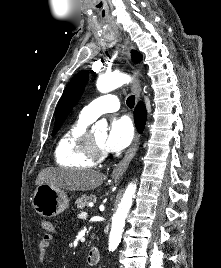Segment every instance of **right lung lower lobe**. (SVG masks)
<instances>
[{"mask_svg":"<svg viewBox=\"0 0 221 268\" xmlns=\"http://www.w3.org/2000/svg\"><path fill=\"white\" fill-rule=\"evenodd\" d=\"M134 119L137 130L141 133L146 123V109L142 102L134 110Z\"/></svg>","mask_w":221,"mask_h":268,"instance_id":"obj_1","label":"right lung lower lobe"}]
</instances>
